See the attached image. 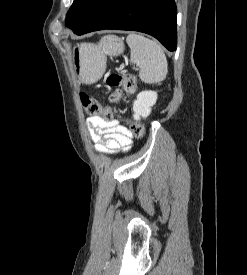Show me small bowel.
Here are the masks:
<instances>
[{
	"label": "small bowel",
	"mask_w": 247,
	"mask_h": 275,
	"mask_svg": "<svg viewBox=\"0 0 247 275\" xmlns=\"http://www.w3.org/2000/svg\"><path fill=\"white\" fill-rule=\"evenodd\" d=\"M87 125L97 152L112 155L130 149L133 135L118 120L92 115L88 118Z\"/></svg>",
	"instance_id": "small-bowel-1"
}]
</instances>
